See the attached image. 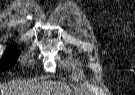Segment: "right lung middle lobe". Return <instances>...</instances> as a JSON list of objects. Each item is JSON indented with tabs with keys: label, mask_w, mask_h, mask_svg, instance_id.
<instances>
[{
	"label": "right lung middle lobe",
	"mask_w": 135,
	"mask_h": 95,
	"mask_svg": "<svg viewBox=\"0 0 135 95\" xmlns=\"http://www.w3.org/2000/svg\"><path fill=\"white\" fill-rule=\"evenodd\" d=\"M18 51L16 48L11 47L7 49L3 55L0 65V72L7 70L18 58Z\"/></svg>",
	"instance_id": "dd1d6c3e"
}]
</instances>
